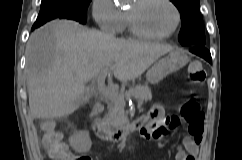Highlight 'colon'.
<instances>
[{
    "label": "colon",
    "mask_w": 242,
    "mask_h": 160,
    "mask_svg": "<svg viewBox=\"0 0 242 160\" xmlns=\"http://www.w3.org/2000/svg\"><path fill=\"white\" fill-rule=\"evenodd\" d=\"M188 77L192 83H203L206 77L203 65L198 61L191 62L188 66ZM181 115L189 124V133H196L201 129L204 115L199 103L193 97L187 99V101L183 104ZM43 131L44 134L42 141L49 156L53 160H66L69 155V150L67 145L63 142L61 132L56 128L55 124L51 121L44 122ZM154 135L159 136L160 133L156 131ZM75 160L91 159L86 155H80L75 157Z\"/></svg>",
    "instance_id": "5ec220e1"
}]
</instances>
